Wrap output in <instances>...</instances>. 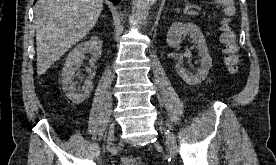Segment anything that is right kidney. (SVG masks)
I'll use <instances>...</instances> for the list:
<instances>
[{
    "mask_svg": "<svg viewBox=\"0 0 276 165\" xmlns=\"http://www.w3.org/2000/svg\"><path fill=\"white\" fill-rule=\"evenodd\" d=\"M86 52L91 53L95 59H98L102 54V41L94 36L91 37L89 41L78 44L69 53L65 61L61 83L67 98L74 104L82 103L87 97H89L93 89V83L90 79L85 80L83 86L78 89L73 82L74 77L77 75L76 72H78L81 67Z\"/></svg>",
    "mask_w": 276,
    "mask_h": 165,
    "instance_id": "ca27d5eb",
    "label": "right kidney"
}]
</instances>
